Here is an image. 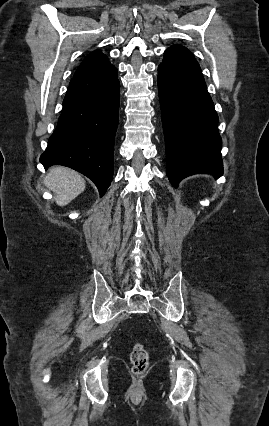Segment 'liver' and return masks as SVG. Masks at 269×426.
<instances>
[{
    "label": "liver",
    "instance_id": "6515ba94",
    "mask_svg": "<svg viewBox=\"0 0 269 426\" xmlns=\"http://www.w3.org/2000/svg\"><path fill=\"white\" fill-rule=\"evenodd\" d=\"M44 184L54 193V199L59 206L69 204L86 187L85 180L78 172L62 166L52 167L44 179Z\"/></svg>",
    "mask_w": 269,
    "mask_h": 426
}]
</instances>
